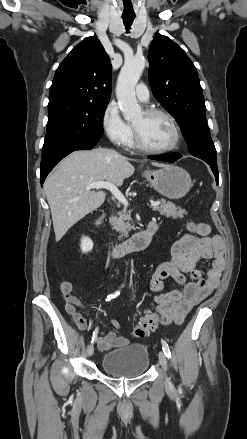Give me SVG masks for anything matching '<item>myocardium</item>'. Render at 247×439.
I'll return each instance as SVG.
<instances>
[{
	"label": "myocardium",
	"instance_id": "myocardium-1",
	"mask_svg": "<svg viewBox=\"0 0 247 439\" xmlns=\"http://www.w3.org/2000/svg\"><path fill=\"white\" fill-rule=\"evenodd\" d=\"M143 113L147 117H153V116L166 117L170 121V123L173 127L174 140H173L171 145L164 147V148L149 147L142 140L141 134L138 131V129L135 126H133L135 146L144 152L152 153V154H164V153H169V152L176 150L179 147V145L181 143V139H182L181 128H180V125H179L178 121L176 120V118L170 112H168L164 109H159V108L147 109Z\"/></svg>",
	"mask_w": 247,
	"mask_h": 439
}]
</instances>
